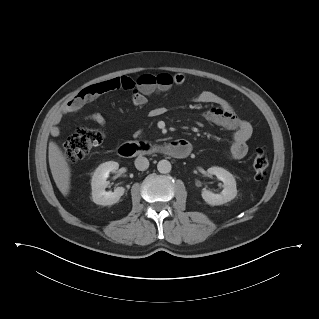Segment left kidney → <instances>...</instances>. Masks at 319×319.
<instances>
[{
    "label": "left kidney",
    "instance_id": "left-kidney-1",
    "mask_svg": "<svg viewBox=\"0 0 319 319\" xmlns=\"http://www.w3.org/2000/svg\"><path fill=\"white\" fill-rule=\"evenodd\" d=\"M208 174L215 175L223 182V190L220 194H214L211 191L203 190L202 198L209 205H222L233 200L237 195L236 181L233 175L221 167H211L207 170Z\"/></svg>",
    "mask_w": 319,
    "mask_h": 319
}]
</instances>
